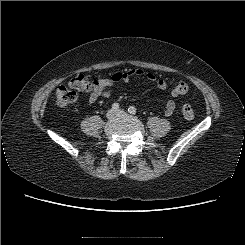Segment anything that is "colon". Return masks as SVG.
Masks as SVG:
<instances>
[{
	"label": "colon",
	"instance_id": "1",
	"mask_svg": "<svg viewBox=\"0 0 245 245\" xmlns=\"http://www.w3.org/2000/svg\"><path fill=\"white\" fill-rule=\"evenodd\" d=\"M94 88L89 75L79 74L71 79L67 86H59L55 92L56 103L60 107H66L74 103L78 97L79 92L90 91ZM189 91V86L185 82H176L172 89L174 96L185 95ZM182 113L185 119L193 120L195 112L190 104H184Z\"/></svg>",
	"mask_w": 245,
	"mask_h": 245
}]
</instances>
